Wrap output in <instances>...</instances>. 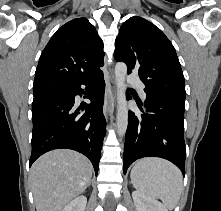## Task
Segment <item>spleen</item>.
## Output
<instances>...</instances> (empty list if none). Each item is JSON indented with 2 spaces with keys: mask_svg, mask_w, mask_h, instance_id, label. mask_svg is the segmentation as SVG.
<instances>
[{
  "mask_svg": "<svg viewBox=\"0 0 221 211\" xmlns=\"http://www.w3.org/2000/svg\"><path fill=\"white\" fill-rule=\"evenodd\" d=\"M133 186L141 193L160 199L172 210L178 203L182 188V174L172 163L160 158L138 160L130 174Z\"/></svg>",
  "mask_w": 221,
  "mask_h": 211,
  "instance_id": "3e777b00",
  "label": "spleen"
}]
</instances>
